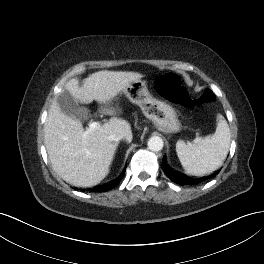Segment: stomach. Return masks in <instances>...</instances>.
Wrapping results in <instances>:
<instances>
[{"label":"stomach","instance_id":"1","mask_svg":"<svg viewBox=\"0 0 264 264\" xmlns=\"http://www.w3.org/2000/svg\"><path fill=\"white\" fill-rule=\"evenodd\" d=\"M128 99L137 104L146 118L151 120L155 127L166 133H176L180 131L181 124L175 109L166 102L154 98L145 81H133L123 91Z\"/></svg>","mask_w":264,"mask_h":264}]
</instances>
